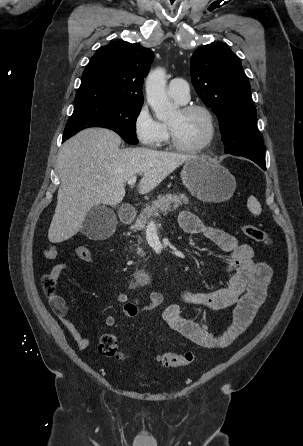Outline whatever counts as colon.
Segmentation results:
<instances>
[{
	"label": "colon",
	"instance_id": "obj_1",
	"mask_svg": "<svg viewBox=\"0 0 303 446\" xmlns=\"http://www.w3.org/2000/svg\"><path fill=\"white\" fill-rule=\"evenodd\" d=\"M241 231L246 237L254 242L266 245L271 243V239L268 234L259 227L251 224H243L241 225ZM75 253L77 257L83 261L92 260V253L85 246L77 247ZM43 286L50 301L56 300L58 296L56 294V284L50 274H47L43 277ZM98 350L102 356L107 358H123V353L119 350L117 337L115 336V334L110 332L105 333L101 336ZM196 356V350L193 349L183 353H162L157 357V360L164 367L173 368L191 364L194 360H196Z\"/></svg>",
	"mask_w": 303,
	"mask_h": 446
}]
</instances>
